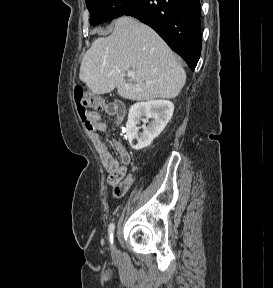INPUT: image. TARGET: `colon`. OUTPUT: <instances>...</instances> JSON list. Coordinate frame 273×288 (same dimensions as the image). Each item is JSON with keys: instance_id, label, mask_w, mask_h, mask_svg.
I'll return each mask as SVG.
<instances>
[{"instance_id": "colon-1", "label": "colon", "mask_w": 273, "mask_h": 288, "mask_svg": "<svg viewBox=\"0 0 273 288\" xmlns=\"http://www.w3.org/2000/svg\"><path fill=\"white\" fill-rule=\"evenodd\" d=\"M74 99L79 116L83 124L89 131L92 130L96 118V114L92 111V109L94 110L103 109L104 107L103 101L97 97L88 98L81 87L75 88Z\"/></svg>"}]
</instances>
